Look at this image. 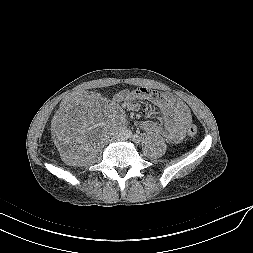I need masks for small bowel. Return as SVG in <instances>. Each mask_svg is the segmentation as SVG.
<instances>
[{"mask_svg": "<svg viewBox=\"0 0 253 253\" xmlns=\"http://www.w3.org/2000/svg\"><path fill=\"white\" fill-rule=\"evenodd\" d=\"M114 99L124 104L129 110H137L138 101L146 100L154 104L163 114L165 125L161 127L156 121H142L139 126L147 132H157L169 143H178L185 136V130L191 122V113L187 105L174 96L141 87L135 90H120ZM69 106V105H68Z\"/></svg>", "mask_w": 253, "mask_h": 253, "instance_id": "small-bowel-1", "label": "small bowel"}]
</instances>
